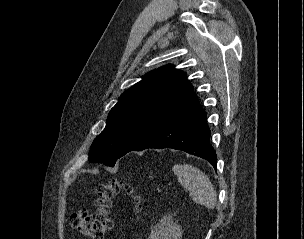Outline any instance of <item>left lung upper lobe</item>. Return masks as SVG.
I'll return each instance as SVG.
<instances>
[{
  "label": "left lung upper lobe",
  "instance_id": "5c2ea615",
  "mask_svg": "<svg viewBox=\"0 0 304 239\" xmlns=\"http://www.w3.org/2000/svg\"><path fill=\"white\" fill-rule=\"evenodd\" d=\"M197 100L183 71L166 65L149 72L110 111L105 129L90 147V162L113 167L118 158Z\"/></svg>",
  "mask_w": 304,
  "mask_h": 239
}]
</instances>
